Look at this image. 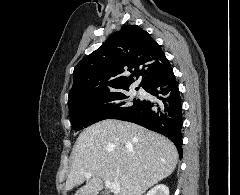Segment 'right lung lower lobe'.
Instances as JSON below:
<instances>
[{
    "label": "right lung lower lobe",
    "mask_w": 240,
    "mask_h": 195,
    "mask_svg": "<svg viewBox=\"0 0 240 195\" xmlns=\"http://www.w3.org/2000/svg\"><path fill=\"white\" fill-rule=\"evenodd\" d=\"M144 90L154 99L142 100L114 119L130 121L168 137L182 157V105L173 71L153 81Z\"/></svg>",
    "instance_id": "1"
}]
</instances>
